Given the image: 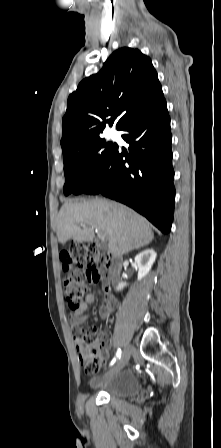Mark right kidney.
I'll return each mask as SVG.
<instances>
[{
    "label": "right kidney",
    "mask_w": 221,
    "mask_h": 448,
    "mask_svg": "<svg viewBox=\"0 0 221 448\" xmlns=\"http://www.w3.org/2000/svg\"><path fill=\"white\" fill-rule=\"evenodd\" d=\"M156 256L157 253L153 249H146L141 253H139L138 255H136L135 263L138 267V280H141L149 273L156 259ZM124 286H126V283L120 282L117 289L121 290L123 289Z\"/></svg>",
    "instance_id": "ca27d5eb"
}]
</instances>
